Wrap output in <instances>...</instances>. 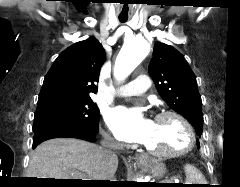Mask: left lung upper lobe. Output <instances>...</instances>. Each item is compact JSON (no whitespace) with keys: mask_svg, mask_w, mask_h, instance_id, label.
I'll return each instance as SVG.
<instances>
[{"mask_svg":"<svg viewBox=\"0 0 240 187\" xmlns=\"http://www.w3.org/2000/svg\"><path fill=\"white\" fill-rule=\"evenodd\" d=\"M148 71L160 96L173 110L186 117L200 136L202 100L196 77L184 56L172 46L157 42Z\"/></svg>","mask_w":240,"mask_h":187,"instance_id":"1","label":"left lung upper lobe"}]
</instances>
